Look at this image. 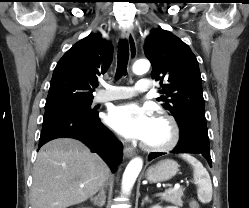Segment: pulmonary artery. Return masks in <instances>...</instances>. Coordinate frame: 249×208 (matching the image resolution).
<instances>
[{"mask_svg":"<svg viewBox=\"0 0 249 208\" xmlns=\"http://www.w3.org/2000/svg\"><path fill=\"white\" fill-rule=\"evenodd\" d=\"M153 88L149 79H140L134 86H115L108 88L104 93H98L94 101L97 103L127 99L136 96L139 93L149 92Z\"/></svg>","mask_w":249,"mask_h":208,"instance_id":"e3ab8cb5","label":"pulmonary artery"}]
</instances>
